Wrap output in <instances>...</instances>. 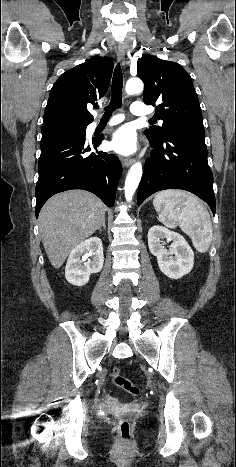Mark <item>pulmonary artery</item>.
I'll return each instance as SVG.
<instances>
[{
	"mask_svg": "<svg viewBox=\"0 0 236 467\" xmlns=\"http://www.w3.org/2000/svg\"><path fill=\"white\" fill-rule=\"evenodd\" d=\"M131 113L135 116H145V115H148L149 112L148 110L146 109V107L144 106L143 103H139V102H136L132 105L131 107ZM124 117L122 115H116L114 117H112L109 121H108V125H115V124H118L120 123L121 121H123Z\"/></svg>",
	"mask_w": 236,
	"mask_h": 467,
	"instance_id": "e3ab8cb5",
	"label": "pulmonary artery"
}]
</instances>
